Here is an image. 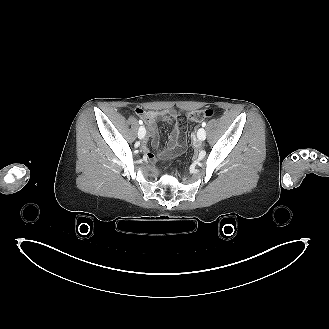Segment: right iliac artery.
I'll list each match as a JSON object with an SVG mask.
<instances>
[{
    "label": "right iliac artery",
    "instance_id": "obj_1",
    "mask_svg": "<svg viewBox=\"0 0 329 329\" xmlns=\"http://www.w3.org/2000/svg\"><path fill=\"white\" fill-rule=\"evenodd\" d=\"M139 124L142 125L143 124V121L142 120H139Z\"/></svg>",
    "mask_w": 329,
    "mask_h": 329
}]
</instances>
